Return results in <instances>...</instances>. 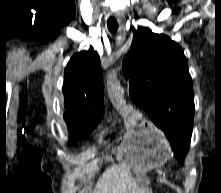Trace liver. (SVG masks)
<instances>
[{
    "label": "liver",
    "mask_w": 221,
    "mask_h": 193,
    "mask_svg": "<svg viewBox=\"0 0 221 193\" xmlns=\"http://www.w3.org/2000/svg\"><path fill=\"white\" fill-rule=\"evenodd\" d=\"M136 183L124 166H112L99 178L93 193H135Z\"/></svg>",
    "instance_id": "1"
}]
</instances>
